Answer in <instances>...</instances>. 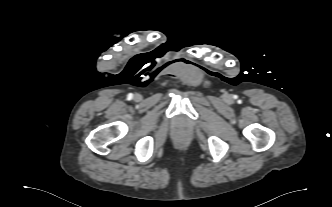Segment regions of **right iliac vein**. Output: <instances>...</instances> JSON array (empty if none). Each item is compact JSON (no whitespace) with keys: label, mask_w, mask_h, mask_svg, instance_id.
Wrapping results in <instances>:
<instances>
[{"label":"right iliac vein","mask_w":332,"mask_h":207,"mask_svg":"<svg viewBox=\"0 0 332 207\" xmlns=\"http://www.w3.org/2000/svg\"><path fill=\"white\" fill-rule=\"evenodd\" d=\"M135 98H136L137 100H139V99H140V95H136Z\"/></svg>","instance_id":"1"}]
</instances>
